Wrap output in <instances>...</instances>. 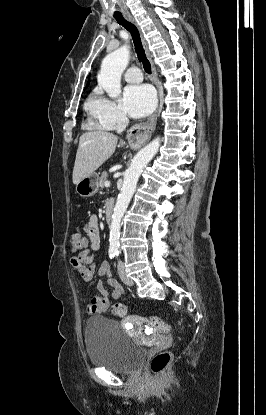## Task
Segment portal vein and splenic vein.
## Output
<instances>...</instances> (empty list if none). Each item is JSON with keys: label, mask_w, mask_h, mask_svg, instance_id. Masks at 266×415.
<instances>
[{"label": "portal vein and splenic vein", "mask_w": 266, "mask_h": 415, "mask_svg": "<svg viewBox=\"0 0 266 415\" xmlns=\"http://www.w3.org/2000/svg\"><path fill=\"white\" fill-rule=\"evenodd\" d=\"M104 186H105V187H109V186H110V182L105 181V182H104Z\"/></svg>", "instance_id": "1"}]
</instances>
